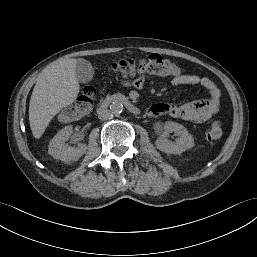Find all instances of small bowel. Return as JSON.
<instances>
[{
    "instance_id": "1",
    "label": "small bowel",
    "mask_w": 257,
    "mask_h": 257,
    "mask_svg": "<svg viewBox=\"0 0 257 257\" xmlns=\"http://www.w3.org/2000/svg\"><path fill=\"white\" fill-rule=\"evenodd\" d=\"M147 80L148 75L146 71L140 67L133 69L124 68L116 76L118 85L124 89L131 87L140 88L146 84ZM171 85L173 87L182 85L200 86L207 93V98L180 105L171 103L154 104L147 111L150 116L169 115L195 123H202L218 112L220 91L216 84L209 78L196 74L178 73L172 77Z\"/></svg>"
}]
</instances>
